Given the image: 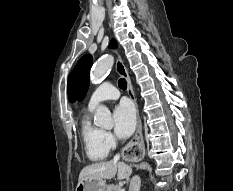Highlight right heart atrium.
I'll use <instances>...</instances> for the list:
<instances>
[{
  "mask_svg": "<svg viewBox=\"0 0 233 191\" xmlns=\"http://www.w3.org/2000/svg\"><path fill=\"white\" fill-rule=\"evenodd\" d=\"M103 141L108 150L116 146V139L110 132H103Z\"/></svg>",
  "mask_w": 233,
  "mask_h": 191,
  "instance_id": "1",
  "label": "right heart atrium"
}]
</instances>
